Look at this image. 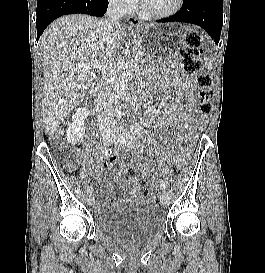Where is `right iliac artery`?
<instances>
[{
    "label": "right iliac artery",
    "instance_id": "obj_1",
    "mask_svg": "<svg viewBox=\"0 0 265 273\" xmlns=\"http://www.w3.org/2000/svg\"><path fill=\"white\" fill-rule=\"evenodd\" d=\"M111 153H112L111 149H109V148H104V149L102 150L101 154H100V159H106ZM92 192H93V188H92L91 186H89V187L87 188V193L91 195Z\"/></svg>",
    "mask_w": 265,
    "mask_h": 273
}]
</instances>
